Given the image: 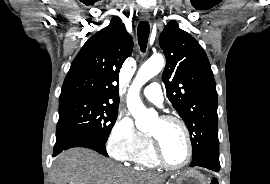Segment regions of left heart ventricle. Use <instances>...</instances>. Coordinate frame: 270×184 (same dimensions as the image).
I'll list each match as a JSON object with an SVG mask.
<instances>
[{
  "mask_svg": "<svg viewBox=\"0 0 270 184\" xmlns=\"http://www.w3.org/2000/svg\"><path fill=\"white\" fill-rule=\"evenodd\" d=\"M158 138L166 161L172 165L181 164L187 155L186 138L181 127L176 123H165L157 119L149 130Z\"/></svg>",
  "mask_w": 270,
  "mask_h": 184,
  "instance_id": "b2bd125f",
  "label": "left heart ventricle"
}]
</instances>
